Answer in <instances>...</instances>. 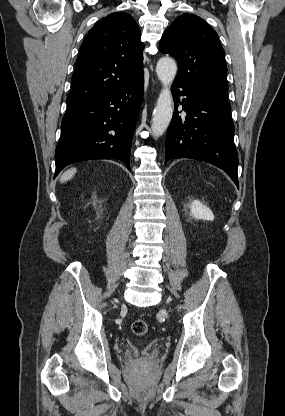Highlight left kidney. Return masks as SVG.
Wrapping results in <instances>:
<instances>
[{
	"label": "left kidney",
	"instance_id": "left-kidney-1",
	"mask_svg": "<svg viewBox=\"0 0 285 416\" xmlns=\"http://www.w3.org/2000/svg\"><path fill=\"white\" fill-rule=\"evenodd\" d=\"M191 216L195 218V220H214V214L211 212L210 208L201 204L199 200H193L190 206Z\"/></svg>",
	"mask_w": 285,
	"mask_h": 416
}]
</instances>
